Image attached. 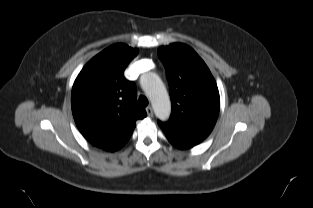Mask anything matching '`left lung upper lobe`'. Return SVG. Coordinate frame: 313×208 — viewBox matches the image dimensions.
I'll return each instance as SVG.
<instances>
[{
    "label": "left lung upper lobe",
    "instance_id": "obj_1",
    "mask_svg": "<svg viewBox=\"0 0 313 208\" xmlns=\"http://www.w3.org/2000/svg\"><path fill=\"white\" fill-rule=\"evenodd\" d=\"M168 83L172 113L158 121L171 143L193 147L212 131L220 109L216 82L198 54L188 45L173 43L159 47Z\"/></svg>",
    "mask_w": 313,
    "mask_h": 208
}]
</instances>
